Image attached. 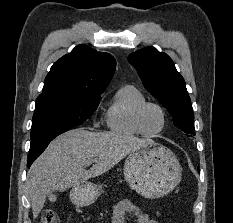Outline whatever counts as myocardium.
Instances as JSON below:
<instances>
[{
    "mask_svg": "<svg viewBox=\"0 0 233 223\" xmlns=\"http://www.w3.org/2000/svg\"><path fill=\"white\" fill-rule=\"evenodd\" d=\"M151 106L158 108L162 112L163 117H164V127L158 133H150L145 128V125H144V122H143L144 112H145V110L148 107H151ZM134 123H135L136 128L143 135L148 136V137H157V136L163 135L166 132V130L168 129V126H169V115L167 113V110L161 104H159L157 102H152V101H144L143 103H141L137 107V109L135 111V114H134Z\"/></svg>",
    "mask_w": 233,
    "mask_h": 223,
    "instance_id": "f54148a6",
    "label": "myocardium"
}]
</instances>
